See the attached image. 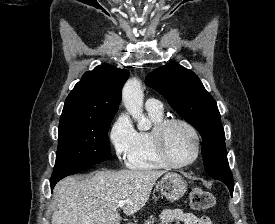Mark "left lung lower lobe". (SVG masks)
Wrapping results in <instances>:
<instances>
[{
  "mask_svg": "<svg viewBox=\"0 0 275 224\" xmlns=\"http://www.w3.org/2000/svg\"><path fill=\"white\" fill-rule=\"evenodd\" d=\"M220 181H222L223 183H225L227 185L231 195H233V181H229L227 179H221Z\"/></svg>",
  "mask_w": 275,
  "mask_h": 224,
  "instance_id": "1",
  "label": "left lung lower lobe"
}]
</instances>
